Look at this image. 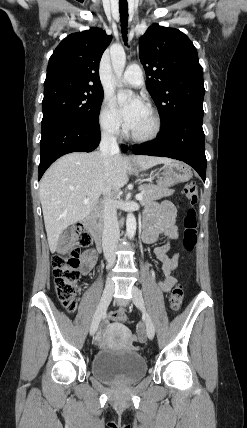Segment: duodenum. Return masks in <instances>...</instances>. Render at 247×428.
Masks as SVG:
<instances>
[{"label": "duodenum", "instance_id": "410a0bca", "mask_svg": "<svg viewBox=\"0 0 247 428\" xmlns=\"http://www.w3.org/2000/svg\"><path fill=\"white\" fill-rule=\"evenodd\" d=\"M83 224L91 233L93 240H94V243H95V246H96V249L102 250L103 245H104V237L102 234V230L98 224V211L95 210L90 215H88L83 220Z\"/></svg>", "mask_w": 247, "mask_h": 428}]
</instances>
